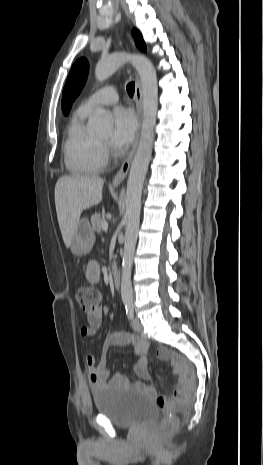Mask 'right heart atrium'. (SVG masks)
Wrapping results in <instances>:
<instances>
[{
    "label": "right heart atrium",
    "instance_id": "1",
    "mask_svg": "<svg viewBox=\"0 0 263 465\" xmlns=\"http://www.w3.org/2000/svg\"><path fill=\"white\" fill-rule=\"evenodd\" d=\"M102 151H103L104 156L108 154V148L106 145H102Z\"/></svg>",
    "mask_w": 263,
    "mask_h": 465
}]
</instances>
